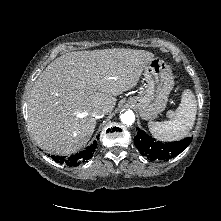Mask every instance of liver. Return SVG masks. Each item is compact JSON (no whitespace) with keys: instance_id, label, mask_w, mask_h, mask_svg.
<instances>
[{"instance_id":"6515ba94","label":"liver","mask_w":221,"mask_h":221,"mask_svg":"<svg viewBox=\"0 0 221 221\" xmlns=\"http://www.w3.org/2000/svg\"><path fill=\"white\" fill-rule=\"evenodd\" d=\"M153 53L104 49L66 53L51 62L35 81L28 98V128L50 154L70 155L90 140L95 107L109 114L116 96L134 88Z\"/></svg>"}]
</instances>
